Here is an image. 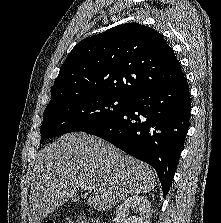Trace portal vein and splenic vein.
I'll list each match as a JSON object with an SVG mask.
<instances>
[{"label": "portal vein and splenic vein", "mask_w": 221, "mask_h": 223, "mask_svg": "<svg viewBox=\"0 0 221 223\" xmlns=\"http://www.w3.org/2000/svg\"><path fill=\"white\" fill-rule=\"evenodd\" d=\"M80 188H81L82 190H85V191L89 190L88 185L85 184V183H83V182L80 184Z\"/></svg>", "instance_id": "18ae733b"}]
</instances>
